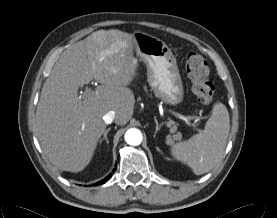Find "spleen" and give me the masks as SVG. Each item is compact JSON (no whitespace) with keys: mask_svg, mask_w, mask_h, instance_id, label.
I'll return each mask as SVG.
<instances>
[{"mask_svg":"<svg viewBox=\"0 0 277 218\" xmlns=\"http://www.w3.org/2000/svg\"><path fill=\"white\" fill-rule=\"evenodd\" d=\"M230 130L229 113L217 102L202 132L171 147V154L187 164L196 175L210 171L222 158Z\"/></svg>","mask_w":277,"mask_h":218,"instance_id":"obj_1","label":"spleen"}]
</instances>
